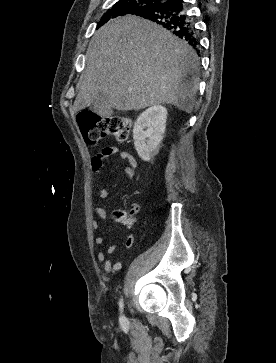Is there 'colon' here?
<instances>
[{
	"instance_id": "5ec220e1",
	"label": "colon",
	"mask_w": 276,
	"mask_h": 363,
	"mask_svg": "<svg viewBox=\"0 0 276 363\" xmlns=\"http://www.w3.org/2000/svg\"><path fill=\"white\" fill-rule=\"evenodd\" d=\"M77 118L80 132L90 144H96L106 136H113L117 141L124 142L128 139L132 125L128 116L114 115L102 118L89 110H81ZM114 217L127 225L134 223V218L123 210H116Z\"/></svg>"
}]
</instances>
